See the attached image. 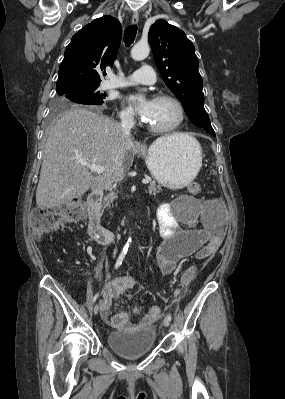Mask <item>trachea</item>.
Instances as JSON below:
<instances>
[{"instance_id":"3493384b","label":"trachea","mask_w":285,"mask_h":399,"mask_svg":"<svg viewBox=\"0 0 285 399\" xmlns=\"http://www.w3.org/2000/svg\"><path fill=\"white\" fill-rule=\"evenodd\" d=\"M137 34V26L136 25H130L125 29L124 32V42L127 46L131 45L136 37Z\"/></svg>"}]
</instances>
